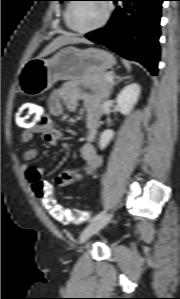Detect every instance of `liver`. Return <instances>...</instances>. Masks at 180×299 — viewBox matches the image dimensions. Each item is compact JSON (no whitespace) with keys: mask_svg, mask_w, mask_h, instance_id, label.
I'll list each match as a JSON object with an SVG mask.
<instances>
[{"mask_svg":"<svg viewBox=\"0 0 180 299\" xmlns=\"http://www.w3.org/2000/svg\"><path fill=\"white\" fill-rule=\"evenodd\" d=\"M78 43H88V41L83 38H79L72 33L63 32L46 46V48L39 54L38 58L45 57L62 46Z\"/></svg>","mask_w":180,"mask_h":299,"instance_id":"obj_1","label":"liver"}]
</instances>
